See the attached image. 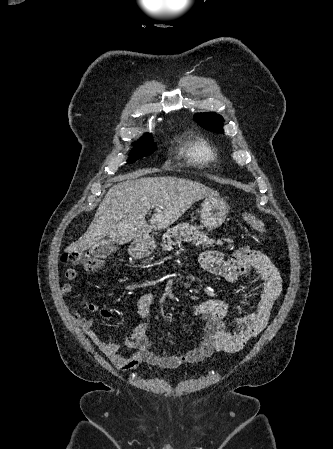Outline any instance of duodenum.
Returning <instances> with one entry per match:
<instances>
[{
	"label": "duodenum",
	"instance_id": "410a0bca",
	"mask_svg": "<svg viewBox=\"0 0 333 449\" xmlns=\"http://www.w3.org/2000/svg\"><path fill=\"white\" fill-rule=\"evenodd\" d=\"M149 245H150V238H144L135 247V254L137 256L145 255L147 252V249L149 248Z\"/></svg>",
	"mask_w": 333,
	"mask_h": 449
}]
</instances>
